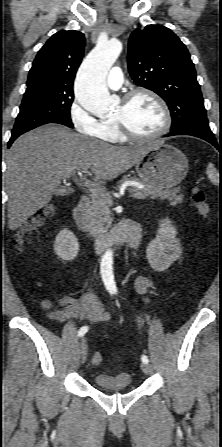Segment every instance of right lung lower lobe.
<instances>
[{"label":"right lung lower lobe","mask_w":222,"mask_h":447,"mask_svg":"<svg viewBox=\"0 0 222 447\" xmlns=\"http://www.w3.org/2000/svg\"><path fill=\"white\" fill-rule=\"evenodd\" d=\"M62 125H65V126H68V127H70V128H73V125H71V124H66V123H64V124H62ZM17 137H18V136H12V137H11L10 141L8 142V148L11 146L12 142H13Z\"/></svg>","instance_id":"obj_1"}]
</instances>
